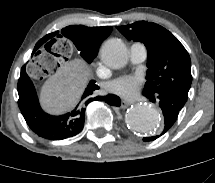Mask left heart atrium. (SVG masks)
I'll return each instance as SVG.
<instances>
[{
    "instance_id": "left-heart-atrium-1",
    "label": "left heart atrium",
    "mask_w": 215,
    "mask_h": 183,
    "mask_svg": "<svg viewBox=\"0 0 215 183\" xmlns=\"http://www.w3.org/2000/svg\"><path fill=\"white\" fill-rule=\"evenodd\" d=\"M140 76H127L113 81L109 85L111 92L125 98H134L140 88Z\"/></svg>"
}]
</instances>
